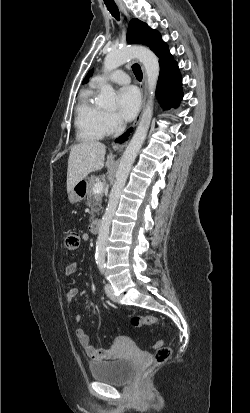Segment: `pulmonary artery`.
Listing matches in <instances>:
<instances>
[{"label": "pulmonary artery", "mask_w": 250, "mask_h": 413, "mask_svg": "<svg viewBox=\"0 0 250 413\" xmlns=\"http://www.w3.org/2000/svg\"><path fill=\"white\" fill-rule=\"evenodd\" d=\"M108 81L116 84H128L130 82V78L129 75L121 69L114 70L107 75H98L94 78V82L97 85Z\"/></svg>", "instance_id": "e3ab8cb5"}]
</instances>
